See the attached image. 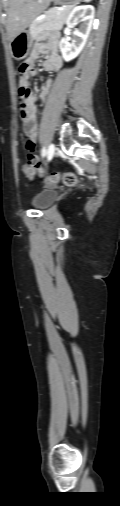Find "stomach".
<instances>
[{
	"label": "stomach",
	"mask_w": 120,
	"mask_h": 506,
	"mask_svg": "<svg viewBox=\"0 0 120 506\" xmlns=\"http://www.w3.org/2000/svg\"><path fill=\"white\" fill-rule=\"evenodd\" d=\"M80 0H52L56 5L72 7ZM33 37L30 31L24 30L10 41L12 57L16 60L25 59L32 47Z\"/></svg>",
	"instance_id": "1"
}]
</instances>
